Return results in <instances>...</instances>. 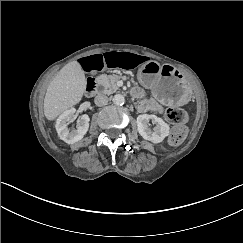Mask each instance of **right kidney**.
Masks as SVG:
<instances>
[{"instance_id":"obj_1","label":"right kidney","mask_w":243,"mask_h":243,"mask_svg":"<svg viewBox=\"0 0 243 243\" xmlns=\"http://www.w3.org/2000/svg\"><path fill=\"white\" fill-rule=\"evenodd\" d=\"M74 113L75 109L68 110L64 112L56 122V130L59 139L67 144H74L80 141L89 129L90 117L87 114H84L78 118L77 129L69 131L67 126L71 122Z\"/></svg>"}]
</instances>
